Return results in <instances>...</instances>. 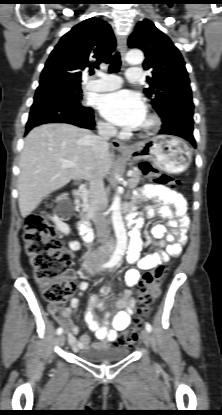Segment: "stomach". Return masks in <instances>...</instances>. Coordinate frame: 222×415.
<instances>
[{
  "label": "stomach",
  "instance_id": "1",
  "mask_svg": "<svg viewBox=\"0 0 222 415\" xmlns=\"http://www.w3.org/2000/svg\"><path fill=\"white\" fill-rule=\"evenodd\" d=\"M135 161L149 160L168 173L188 169L192 153L187 143L176 136H157L132 147L128 153Z\"/></svg>",
  "mask_w": 222,
  "mask_h": 415
}]
</instances>
